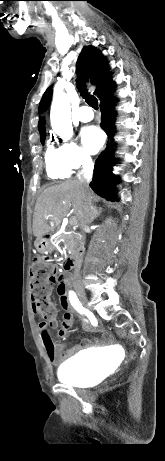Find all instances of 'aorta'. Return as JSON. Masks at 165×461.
<instances>
[{"label": "aorta", "mask_w": 165, "mask_h": 461, "mask_svg": "<svg viewBox=\"0 0 165 461\" xmlns=\"http://www.w3.org/2000/svg\"><path fill=\"white\" fill-rule=\"evenodd\" d=\"M50 121L53 131L65 140L73 135L70 101L64 92H54L50 111Z\"/></svg>", "instance_id": "762f6f07"}]
</instances>
